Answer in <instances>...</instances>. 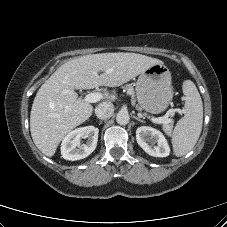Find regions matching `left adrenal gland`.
Returning <instances> with one entry per match:
<instances>
[{
  "label": "left adrenal gland",
  "mask_w": 227,
  "mask_h": 227,
  "mask_svg": "<svg viewBox=\"0 0 227 227\" xmlns=\"http://www.w3.org/2000/svg\"><path fill=\"white\" fill-rule=\"evenodd\" d=\"M133 118H134V119H136V120H138V121H140V122H142V123H144V122H145V121H144V120H142L140 117L133 116Z\"/></svg>",
  "instance_id": "obj_1"
}]
</instances>
